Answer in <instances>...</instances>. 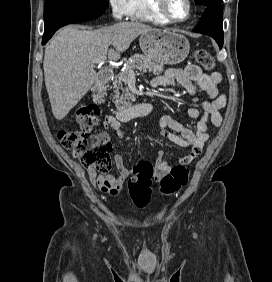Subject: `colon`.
Segmentation results:
<instances>
[{
	"instance_id": "obj_1",
	"label": "colon",
	"mask_w": 272,
	"mask_h": 282,
	"mask_svg": "<svg viewBox=\"0 0 272 282\" xmlns=\"http://www.w3.org/2000/svg\"><path fill=\"white\" fill-rule=\"evenodd\" d=\"M195 61L202 67L212 70L214 62L212 56L203 49L195 51ZM99 110L95 104L87 103L77 107L75 120L77 129L62 130L58 134L61 145L77 158L87 169H94L100 173H108L111 168V143L106 134L94 135L92 129L97 125ZM150 166L147 162L138 163L132 170L128 180L131 199L136 207H146L152 197L148 173ZM189 171L185 166L172 168L162 176L159 193L172 196L184 188L188 182Z\"/></svg>"
}]
</instances>
